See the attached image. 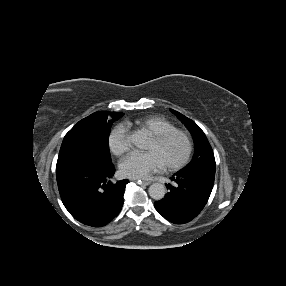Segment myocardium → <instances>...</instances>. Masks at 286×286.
<instances>
[{
	"instance_id": "myocardium-1",
	"label": "myocardium",
	"mask_w": 286,
	"mask_h": 286,
	"mask_svg": "<svg viewBox=\"0 0 286 286\" xmlns=\"http://www.w3.org/2000/svg\"><path fill=\"white\" fill-rule=\"evenodd\" d=\"M176 134H182L186 137L187 143H188V149L187 152L185 154V156L179 160L176 163H173L171 165L168 166H164V170L166 171H176L179 170L181 168H183L191 159L192 155H193V151H194V141H193V137L192 135L183 129H174V130H170V131H166L157 135H153V139L155 142L157 143H162L166 140H168L169 138H171L173 135Z\"/></svg>"
}]
</instances>
